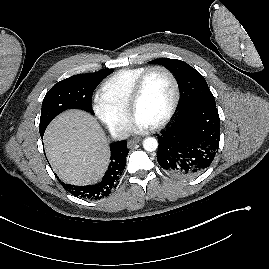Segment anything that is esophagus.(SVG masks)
<instances>
[{
    "instance_id": "esophagus-1",
    "label": "esophagus",
    "mask_w": 269,
    "mask_h": 269,
    "mask_svg": "<svg viewBox=\"0 0 269 269\" xmlns=\"http://www.w3.org/2000/svg\"><path fill=\"white\" fill-rule=\"evenodd\" d=\"M141 140L140 139H135V140H129L127 142V147L128 148H132L134 145H136L137 143H139Z\"/></svg>"
}]
</instances>
